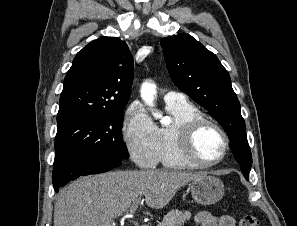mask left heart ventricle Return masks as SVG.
I'll use <instances>...</instances> for the list:
<instances>
[{
  "label": "left heart ventricle",
  "mask_w": 297,
  "mask_h": 226,
  "mask_svg": "<svg viewBox=\"0 0 297 226\" xmlns=\"http://www.w3.org/2000/svg\"><path fill=\"white\" fill-rule=\"evenodd\" d=\"M223 148V138L212 126L199 131L195 139V152L203 161H212L219 157Z\"/></svg>",
  "instance_id": "b2bd125f"
}]
</instances>
